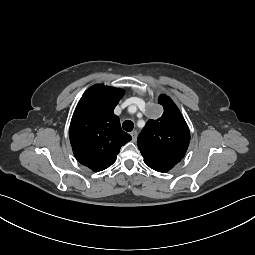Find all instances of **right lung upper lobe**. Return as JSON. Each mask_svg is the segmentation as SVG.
Returning <instances> with one entry per match:
<instances>
[{"label": "right lung upper lobe", "mask_w": 255, "mask_h": 255, "mask_svg": "<svg viewBox=\"0 0 255 255\" xmlns=\"http://www.w3.org/2000/svg\"><path fill=\"white\" fill-rule=\"evenodd\" d=\"M123 94L122 89L96 84L83 94L74 111L69 128L73 153L95 172L111 166L121 146L132 139L113 113Z\"/></svg>", "instance_id": "cb5924a9"}]
</instances>
